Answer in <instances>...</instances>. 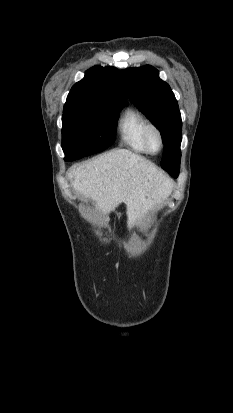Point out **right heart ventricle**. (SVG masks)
I'll use <instances>...</instances> for the list:
<instances>
[{
    "mask_svg": "<svg viewBox=\"0 0 233 413\" xmlns=\"http://www.w3.org/2000/svg\"><path fill=\"white\" fill-rule=\"evenodd\" d=\"M149 121L144 114L135 107L127 108L118 121V130L123 144L135 152L148 153L143 133Z\"/></svg>",
    "mask_w": 233,
    "mask_h": 413,
    "instance_id": "1",
    "label": "right heart ventricle"
}]
</instances>
